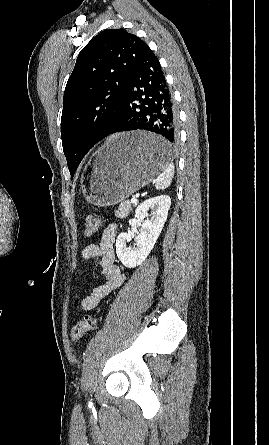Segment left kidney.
<instances>
[{
	"label": "left kidney",
	"instance_id": "5707ae66",
	"mask_svg": "<svg viewBox=\"0 0 269 445\" xmlns=\"http://www.w3.org/2000/svg\"><path fill=\"white\" fill-rule=\"evenodd\" d=\"M170 205V197L161 195L147 199L137 207L131 226L140 225V233L134 236L132 230L119 234L116 239V254L124 266L134 268L147 258L164 227ZM133 238L134 247L130 249L126 242Z\"/></svg>",
	"mask_w": 269,
	"mask_h": 445
}]
</instances>
